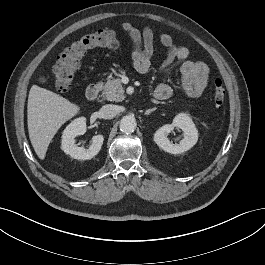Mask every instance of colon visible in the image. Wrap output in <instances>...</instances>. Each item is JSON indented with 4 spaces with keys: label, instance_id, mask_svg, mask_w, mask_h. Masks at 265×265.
<instances>
[{
    "label": "colon",
    "instance_id": "obj_1",
    "mask_svg": "<svg viewBox=\"0 0 265 265\" xmlns=\"http://www.w3.org/2000/svg\"><path fill=\"white\" fill-rule=\"evenodd\" d=\"M119 44L117 34L111 30H98L86 34L73 42L59 55L52 69V78L59 92H68L80 68L81 59L87 51L94 48H114ZM213 101L221 106L226 97L225 88L220 80L213 85Z\"/></svg>",
    "mask_w": 265,
    "mask_h": 265
}]
</instances>
